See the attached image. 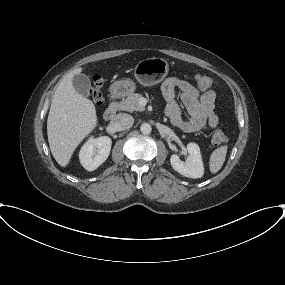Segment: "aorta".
<instances>
[{"label":"aorta","instance_id":"aorta-1","mask_svg":"<svg viewBox=\"0 0 285 285\" xmlns=\"http://www.w3.org/2000/svg\"><path fill=\"white\" fill-rule=\"evenodd\" d=\"M140 130L143 134L147 135L150 134L152 131L151 125L148 123H143L140 127Z\"/></svg>","mask_w":285,"mask_h":285}]
</instances>
